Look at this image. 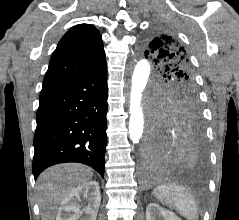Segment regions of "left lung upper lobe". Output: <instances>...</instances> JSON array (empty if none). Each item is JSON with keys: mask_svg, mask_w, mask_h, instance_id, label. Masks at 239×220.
Returning <instances> with one entry per match:
<instances>
[{"mask_svg": "<svg viewBox=\"0 0 239 220\" xmlns=\"http://www.w3.org/2000/svg\"><path fill=\"white\" fill-rule=\"evenodd\" d=\"M141 48L146 58L150 57L167 79L156 92V108L167 112H200L193 67L187 50L177 37L155 27L142 37Z\"/></svg>", "mask_w": 239, "mask_h": 220, "instance_id": "1", "label": "left lung upper lobe"}]
</instances>
